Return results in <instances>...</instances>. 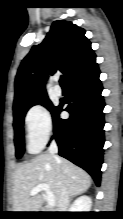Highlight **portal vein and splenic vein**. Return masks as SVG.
<instances>
[{
    "label": "portal vein and splenic vein",
    "mask_w": 123,
    "mask_h": 219,
    "mask_svg": "<svg viewBox=\"0 0 123 219\" xmlns=\"http://www.w3.org/2000/svg\"><path fill=\"white\" fill-rule=\"evenodd\" d=\"M41 191H45V198L49 207L55 206V197L47 184H38L30 191V195H35Z\"/></svg>",
    "instance_id": "portal-vein-and-splenic-vein-1"
}]
</instances>
